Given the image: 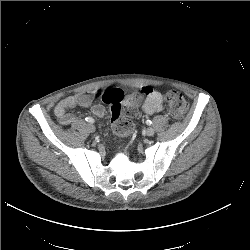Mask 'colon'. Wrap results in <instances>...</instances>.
Here are the masks:
<instances>
[{"instance_id":"5ec220e1","label":"colon","mask_w":250,"mask_h":250,"mask_svg":"<svg viewBox=\"0 0 250 250\" xmlns=\"http://www.w3.org/2000/svg\"><path fill=\"white\" fill-rule=\"evenodd\" d=\"M96 96L109 105L113 130L119 135L130 134L133 126L127 119V115H134L141 100V94L139 92L127 93L120 88L111 87L98 91ZM166 99L170 115L174 119L183 118L188 109V102L183 95L177 91H170L166 94Z\"/></svg>"}]
</instances>
